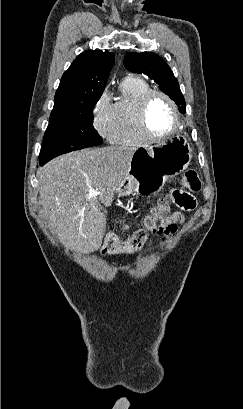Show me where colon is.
Wrapping results in <instances>:
<instances>
[{
	"instance_id": "obj_1",
	"label": "colon",
	"mask_w": 243,
	"mask_h": 409,
	"mask_svg": "<svg viewBox=\"0 0 243 409\" xmlns=\"http://www.w3.org/2000/svg\"><path fill=\"white\" fill-rule=\"evenodd\" d=\"M181 185L190 192L200 191L201 180L198 173L195 170L186 171L182 176ZM184 193L177 190L169 196L159 198L144 217L143 228L136 231L126 241L119 240L114 234L107 235L101 248V254L105 256L114 253H136L142 249L150 233L164 234L163 221L171 211L172 206L186 207L190 205Z\"/></svg>"
}]
</instances>
